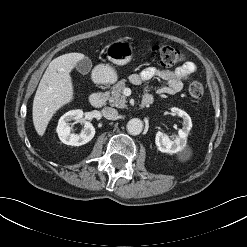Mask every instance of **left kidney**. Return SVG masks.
Here are the masks:
<instances>
[{"instance_id": "5707ae66", "label": "left kidney", "mask_w": 247, "mask_h": 247, "mask_svg": "<svg viewBox=\"0 0 247 247\" xmlns=\"http://www.w3.org/2000/svg\"><path fill=\"white\" fill-rule=\"evenodd\" d=\"M172 111L183 119V127L179 130V136L175 140H171L160 131L156 133L155 143L162 153L175 154L182 151L187 145V137L192 128L191 118L185 111L178 108H173Z\"/></svg>"}]
</instances>
